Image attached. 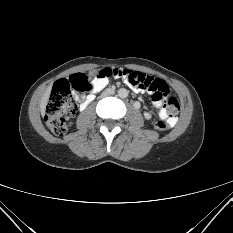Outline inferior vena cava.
Listing matches in <instances>:
<instances>
[{
	"label": "inferior vena cava",
	"instance_id": "obj_1",
	"mask_svg": "<svg viewBox=\"0 0 233 233\" xmlns=\"http://www.w3.org/2000/svg\"><path fill=\"white\" fill-rule=\"evenodd\" d=\"M113 95H114V90L110 87L103 91L104 97H109V96H113Z\"/></svg>",
	"mask_w": 233,
	"mask_h": 233
}]
</instances>
